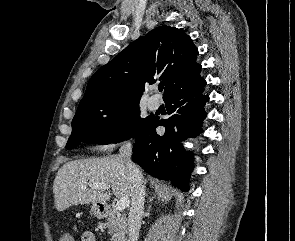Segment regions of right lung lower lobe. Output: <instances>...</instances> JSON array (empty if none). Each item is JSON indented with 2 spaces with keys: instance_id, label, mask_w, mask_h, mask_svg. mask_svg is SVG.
<instances>
[{
  "instance_id": "right-lung-lower-lobe-1",
  "label": "right lung lower lobe",
  "mask_w": 295,
  "mask_h": 241,
  "mask_svg": "<svg viewBox=\"0 0 295 241\" xmlns=\"http://www.w3.org/2000/svg\"><path fill=\"white\" fill-rule=\"evenodd\" d=\"M206 81L202 80L164 99L168 119L152 117L149 123L134 136L132 160L150 175L171 180L183 191L189 189V177L193 169L191 152H186L178 141L201 133L206 118L204 105L209 97L204 95ZM164 126L165 133H156V127Z\"/></svg>"
}]
</instances>
